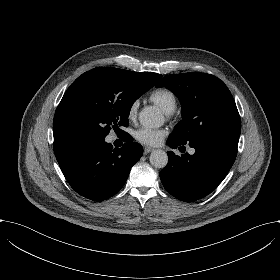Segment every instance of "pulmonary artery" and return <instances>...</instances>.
I'll list each match as a JSON object with an SVG mask.
<instances>
[{
  "mask_svg": "<svg viewBox=\"0 0 280 280\" xmlns=\"http://www.w3.org/2000/svg\"><path fill=\"white\" fill-rule=\"evenodd\" d=\"M188 152H189V154H193L194 150L193 149H189Z\"/></svg>",
  "mask_w": 280,
  "mask_h": 280,
  "instance_id": "1",
  "label": "pulmonary artery"
}]
</instances>
